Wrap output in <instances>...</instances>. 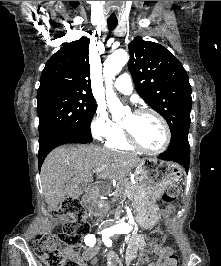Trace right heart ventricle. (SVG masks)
Instances as JSON below:
<instances>
[{
  "label": "right heart ventricle",
  "instance_id": "obj_1",
  "mask_svg": "<svg viewBox=\"0 0 221 266\" xmlns=\"http://www.w3.org/2000/svg\"><path fill=\"white\" fill-rule=\"evenodd\" d=\"M105 144L108 148L113 150H118V151L133 150V147L126 140L123 129L120 126L116 134L108 138L105 141Z\"/></svg>",
  "mask_w": 221,
  "mask_h": 266
}]
</instances>
